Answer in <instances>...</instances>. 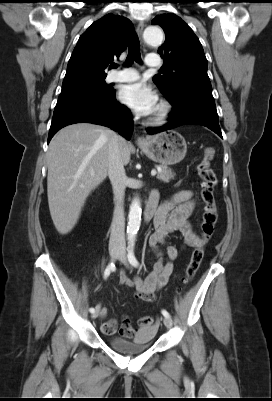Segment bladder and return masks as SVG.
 Returning <instances> with one entry per match:
<instances>
[{
    "label": "bladder",
    "instance_id": "31cf9c89",
    "mask_svg": "<svg viewBox=\"0 0 272 401\" xmlns=\"http://www.w3.org/2000/svg\"><path fill=\"white\" fill-rule=\"evenodd\" d=\"M155 330H150L132 341L124 340L119 336L109 337L110 346L116 351L126 355H136L145 352L151 344Z\"/></svg>",
    "mask_w": 272,
    "mask_h": 401
}]
</instances>
